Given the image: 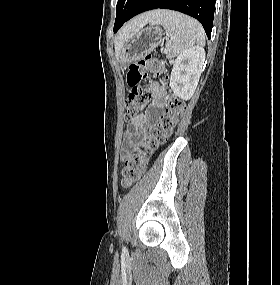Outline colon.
Segmentation results:
<instances>
[{"label":"colon","mask_w":280,"mask_h":285,"mask_svg":"<svg viewBox=\"0 0 280 285\" xmlns=\"http://www.w3.org/2000/svg\"><path fill=\"white\" fill-rule=\"evenodd\" d=\"M164 67L158 59L146 56L132 62L128 67L126 81L131 91L125 105V118L129 120L144 108L151 99L152 92L145 81L151 77L163 78ZM184 110V103L170 95L164 113L151 129L150 134L125 161L122 171V185L129 187L136 183L145 170L149 153L156 150L173 133Z\"/></svg>","instance_id":"1"}]
</instances>
